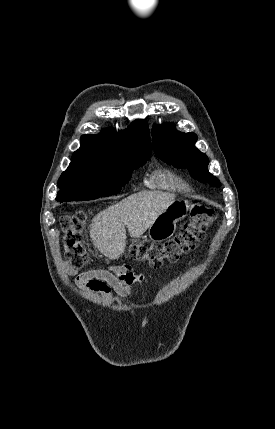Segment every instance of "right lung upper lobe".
I'll return each instance as SVG.
<instances>
[{
  "mask_svg": "<svg viewBox=\"0 0 275 429\" xmlns=\"http://www.w3.org/2000/svg\"><path fill=\"white\" fill-rule=\"evenodd\" d=\"M128 154L151 155L149 128L145 120H136L118 133L107 129L98 135H83L81 147L73 153L71 162L107 161Z\"/></svg>",
  "mask_w": 275,
  "mask_h": 429,
  "instance_id": "cb5924a9",
  "label": "right lung upper lobe"
}]
</instances>
